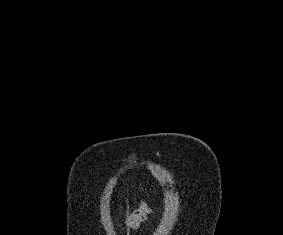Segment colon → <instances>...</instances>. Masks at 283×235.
Returning a JSON list of instances; mask_svg holds the SVG:
<instances>
[{
	"label": "colon",
	"mask_w": 283,
	"mask_h": 235,
	"mask_svg": "<svg viewBox=\"0 0 283 235\" xmlns=\"http://www.w3.org/2000/svg\"><path fill=\"white\" fill-rule=\"evenodd\" d=\"M151 212V207L149 202L144 201L141 203L139 208L132 215L133 220H141L144 216L148 215Z\"/></svg>",
	"instance_id": "obj_1"
}]
</instances>
